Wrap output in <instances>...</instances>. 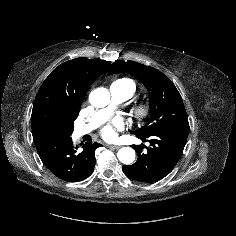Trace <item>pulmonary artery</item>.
I'll return each mask as SVG.
<instances>
[{"mask_svg":"<svg viewBox=\"0 0 236 236\" xmlns=\"http://www.w3.org/2000/svg\"><path fill=\"white\" fill-rule=\"evenodd\" d=\"M110 93V105L98 110L87 124L76 127L74 129L75 137L79 138L96 129L99 125H101L109 118L117 104L122 103L131 97L130 89L127 86L118 82H113L111 84Z\"/></svg>","mask_w":236,"mask_h":236,"instance_id":"obj_1","label":"pulmonary artery"}]
</instances>
